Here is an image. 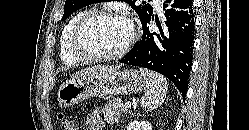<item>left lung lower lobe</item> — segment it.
Masks as SVG:
<instances>
[{"label":"left lung lower lobe","mask_w":249,"mask_h":130,"mask_svg":"<svg viewBox=\"0 0 249 130\" xmlns=\"http://www.w3.org/2000/svg\"><path fill=\"white\" fill-rule=\"evenodd\" d=\"M164 26L151 32L147 23L152 13L142 21L143 36L119 62L157 71L170 79L182 97H186L192 66L194 44V7L191 0H166Z\"/></svg>","instance_id":"1"}]
</instances>
